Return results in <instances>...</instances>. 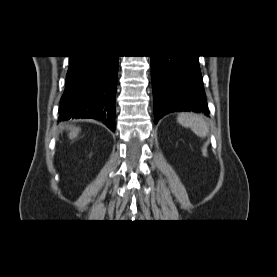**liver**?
Here are the masks:
<instances>
[{
  "mask_svg": "<svg viewBox=\"0 0 277 277\" xmlns=\"http://www.w3.org/2000/svg\"><path fill=\"white\" fill-rule=\"evenodd\" d=\"M68 130H70L69 138L74 139L78 136L80 129L75 126H66Z\"/></svg>",
  "mask_w": 277,
  "mask_h": 277,
  "instance_id": "1",
  "label": "liver"
}]
</instances>
